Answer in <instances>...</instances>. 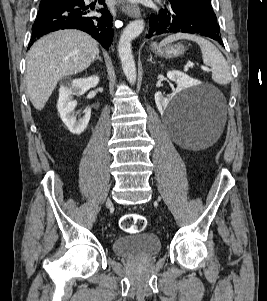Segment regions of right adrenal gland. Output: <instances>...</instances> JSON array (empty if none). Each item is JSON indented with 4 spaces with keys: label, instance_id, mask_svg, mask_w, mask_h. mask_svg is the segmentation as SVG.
<instances>
[{
    "label": "right adrenal gland",
    "instance_id": "2a0ac1e0",
    "mask_svg": "<svg viewBox=\"0 0 267 301\" xmlns=\"http://www.w3.org/2000/svg\"><path fill=\"white\" fill-rule=\"evenodd\" d=\"M96 60H99L100 62H102V59H101V57H100V55H99V51H98V53H97Z\"/></svg>",
    "mask_w": 267,
    "mask_h": 301
}]
</instances>
